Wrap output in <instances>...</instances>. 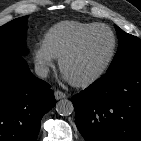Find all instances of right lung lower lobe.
<instances>
[{"label":"right lung lower lobe","instance_id":"obj_1","mask_svg":"<svg viewBox=\"0 0 141 141\" xmlns=\"http://www.w3.org/2000/svg\"><path fill=\"white\" fill-rule=\"evenodd\" d=\"M56 101L22 57L0 60V141H36L41 119Z\"/></svg>","mask_w":141,"mask_h":141}]
</instances>
